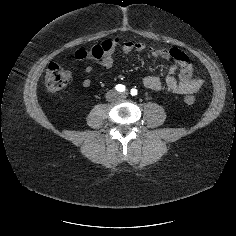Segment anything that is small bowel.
Masks as SVG:
<instances>
[{"label":"small bowel","mask_w":236,"mask_h":236,"mask_svg":"<svg viewBox=\"0 0 236 236\" xmlns=\"http://www.w3.org/2000/svg\"><path fill=\"white\" fill-rule=\"evenodd\" d=\"M119 43V42H118ZM116 44L115 46H117ZM147 44L143 41L127 40L122 44L124 54H130L132 51H144ZM151 54L159 59H171L173 64L169 67L164 80L157 76L148 75L142 78V85L151 91L165 90L172 94L190 95L201 89L204 81L200 78H193V65L188 56L177 48H160L155 45L149 46ZM97 63L104 69H111L114 65L113 50L111 49L100 60H88L85 67L86 76L82 79V86L89 87L91 79L87 76L93 70V64Z\"/></svg>","instance_id":"small-bowel-1"}]
</instances>
